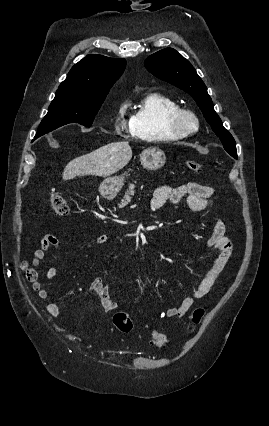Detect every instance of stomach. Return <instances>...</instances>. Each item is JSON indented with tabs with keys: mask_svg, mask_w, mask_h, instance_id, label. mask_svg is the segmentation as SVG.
I'll return each instance as SVG.
<instances>
[{
	"mask_svg": "<svg viewBox=\"0 0 269 426\" xmlns=\"http://www.w3.org/2000/svg\"><path fill=\"white\" fill-rule=\"evenodd\" d=\"M140 161L145 169L156 170L164 165L166 157L161 149L152 147L140 154ZM125 176H128V174L124 173L121 176L106 178L99 187L100 194L108 199L114 198L122 189Z\"/></svg>",
	"mask_w": 269,
	"mask_h": 426,
	"instance_id": "obj_1",
	"label": "stomach"
}]
</instances>
